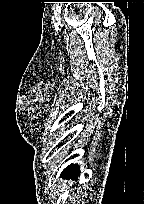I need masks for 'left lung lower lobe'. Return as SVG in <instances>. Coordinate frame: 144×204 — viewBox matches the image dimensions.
<instances>
[{"instance_id": "obj_1", "label": "left lung lower lobe", "mask_w": 144, "mask_h": 204, "mask_svg": "<svg viewBox=\"0 0 144 204\" xmlns=\"http://www.w3.org/2000/svg\"><path fill=\"white\" fill-rule=\"evenodd\" d=\"M79 173L80 170L78 165H70L64 169V171L61 173V177L75 180L78 178V176H80Z\"/></svg>"}]
</instances>
